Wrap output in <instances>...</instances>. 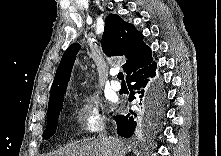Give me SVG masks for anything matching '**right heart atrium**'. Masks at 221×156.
I'll return each instance as SVG.
<instances>
[{
	"label": "right heart atrium",
	"instance_id": "1",
	"mask_svg": "<svg viewBox=\"0 0 221 156\" xmlns=\"http://www.w3.org/2000/svg\"><path fill=\"white\" fill-rule=\"evenodd\" d=\"M73 121L83 132L96 133L105 125V117L97 98L86 96L74 109Z\"/></svg>",
	"mask_w": 221,
	"mask_h": 156
}]
</instances>
